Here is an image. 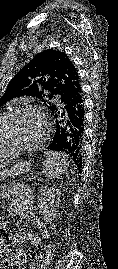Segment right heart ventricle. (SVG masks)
<instances>
[{
    "instance_id": "1",
    "label": "right heart ventricle",
    "mask_w": 118,
    "mask_h": 269,
    "mask_svg": "<svg viewBox=\"0 0 118 269\" xmlns=\"http://www.w3.org/2000/svg\"><path fill=\"white\" fill-rule=\"evenodd\" d=\"M4 116H5V113H0V121L3 119ZM0 147H1V145H0ZM15 154H17V153H4L0 149V159L5 158V157H10V156H13Z\"/></svg>"
}]
</instances>
